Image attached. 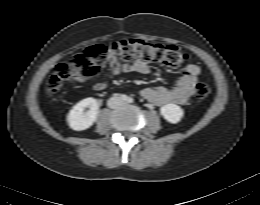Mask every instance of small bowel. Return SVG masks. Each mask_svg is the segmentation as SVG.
Returning a JSON list of instances; mask_svg holds the SVG:
<instances>
[{
	"mask_svg": "<svg viewBox=\"0 0 260 205\" xmlns=\"http://www.w3.org/2000/svg\"><path fill=\"white\" fill-rule=\"evenodd\" d=\"M102 66L107 71L109 78L124 73L136 72L148 74L150 66L146 61L137 59L132 63H122L113 54H108L102 61ZM201 68L196 64H188L183 75L177 79L170 87H148L142 90L141 94L147 100L158 106L170 103L186 105L194 93ZM94 90L103 91L107 88L106 81H99L96 77L90 80Z\"/></svg>",
	"mask_w": 260,
	"mask_h": 205,
	"instance_id": "1",
	"label": "small bowel"
}]
</instances>
